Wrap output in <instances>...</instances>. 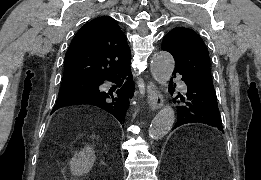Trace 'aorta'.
I'll return each instance as SVG.
<instances>
[{"label": "aorta", "instance_id": "762f6f07", "mask_svg": "<svg viewBox=\"0 0 261 180\" xmlns=\"http://www.w3.org/2000/svg\"><path fill=\"white\" fill-rule=\"evenodd\" d=\"M174 67V58L166 51H160L152 58V76L162 87H166L168 85V82L174 71ZM174 122V109L170 105H167L161 109L152 120L149 127L150 138L155 140L163 138L172 129Z\"/></svg>", "mask_w": 261, "mask_h": 180}]
</instances>
